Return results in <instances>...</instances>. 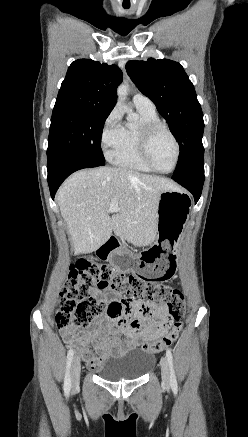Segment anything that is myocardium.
Instances as JSON below:
<instances>
[{"mask_svg": "<svg viewBox=\"0 0 248 437\" xmlns=\"http://www.w3.org/2000/svg\"><path fill=\"white\" fill-rule=\"evenodd\" d=\"M163 130L169 134V136L172 138L175 148H176V154L173 166L169 170H160L158 169L154 163L151 160L150 157V144L152 141V138L154 135L160 131ZM139 152L140 156L143 160V162L146 164L147 167H149L152 171L161 173V174H169L173 172L179 162L180 154H181V147L180 143L176 137V135L173 133V131L163 122L161 121H155L150 122L147 124H144L140 130H139Z\"/></svg>", "mask_w": 248, "mask_h": 437, "instance_id": "f54148a6", "label": "myocardium"}]
</instances>
